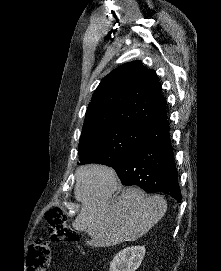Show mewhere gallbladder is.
Wrapping results in <instances>:
<instances>
[{"label":"gallbladder","mask_w":221,"mask_h":271,"mask_svg":"<svg viewBox=\"0 0 221 271\" xmlns=\"http://www.w3.org/2000/svg\"><path fill=\"white\" fill-rule=\"evenodd\" d=\"M81 235H83V237H85L86 233H81Z\"/></svg>","instance_id":"obj_1"}]
</instances>
